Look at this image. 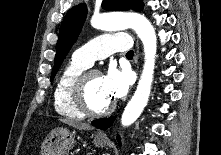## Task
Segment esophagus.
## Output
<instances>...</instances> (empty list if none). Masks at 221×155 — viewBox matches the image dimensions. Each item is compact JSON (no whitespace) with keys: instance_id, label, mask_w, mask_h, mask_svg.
I'll return each mask as SVG.
<instances>
[{"instance_id":"obj_1","label":"esophagus","mask_w":221,"mask_h":155,"mask_svg":"<svg viewBox=\"0 0 221 155\" xmlns=\"http://www.w3.org/2000/svg\"><path fill=\"white\" fill-rule=\"evenodd\" d=\"M136 46L138 47V42L136 43ZM135 62L138 64V50H137V53L135 54ZM99 135L101 137H106L105 133H99Z\"/></svg>"}]
</instances>
